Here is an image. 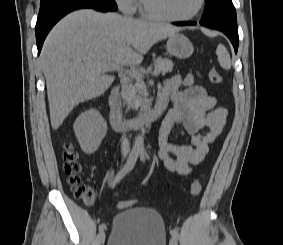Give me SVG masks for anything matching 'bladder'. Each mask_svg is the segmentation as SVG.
<instances>
[{"mask_svg":"<svg viewBox=\"0 0 283 245\" xmlns=\"http://www.w3.org/2000/svg\"><path fill=\"white\" fill-rule=\"evenodd\" d=\"M164 221L154 209L129 206L113 219L107 245H166Z\"/></svg>","mask_w":283,"mask_h":245,"instance_id":"bladder-1","label":"bladder"}]
</instances>
